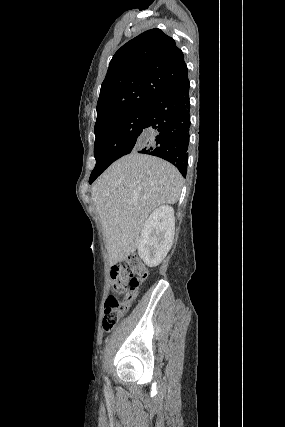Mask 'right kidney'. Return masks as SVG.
I'll return each mask as SVG.
<instances>
[{
	"instance_id": "1",
	"label": "right kidney",
	"mask_w": 285,
	"mask_h": 427,
	"mask_svg": "<svg viewBox=\"0 0 285 427\" xmlns=\"http://www.w3.org/2000/svg\"><path fill=\"white\" fill-rule=\"evenodd\" d=\"M174 232V209L168 205L156 208L145 221L138 242V254L147 266L155 267L165 258Z\"/></svg>"
}]
</instances>
